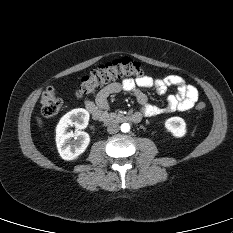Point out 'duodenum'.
<instances>
[{"label":"duodenum","mask_w":233,"mask_h":233,"mask_svg":"<svg viewBox=\"0 0 233 233\" xmlns=\"http://www.w3.org/2000/svg\"><path fill=\"white\" fill-rule=\"evenodd\" d=\"M143 119V115L140 112H135L129 115H111V114H103L100 117V121L109 124L113 122H133L139 123Z\"/></svg>","instance_id":"1"}]
</instances>
